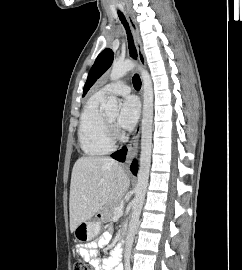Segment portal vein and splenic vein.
I'll use <instances>...</instances> for the list:
<instances>
[{
  "label": "portal vein and splenic vein",
  "instance_id": "1",
  "mask_svg": "<svg viewBox=\"0 0 242 270\" xmlns=\"http://www.w3.org/2000/svg\"><path fill=\"white\" fill-rule=\"evenodd\" d=\"M115 215H122L123 214V205H118L116 208H115V212H114Z\"/></svg>",
  "mask_w": 242,
  "mask_h": 270
}]
</instances>
